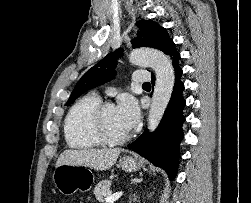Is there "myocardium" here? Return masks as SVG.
<instances>
[{"mask_svg": "<svg viewBox=\"0 0 251 203\" xmlns=\"http://www.w3.org/2000/svg\"><path fill=\"white\" fill-rule=\"evenodd\" d=\"M114 107L110 102L100 103L93 111L91 116L90 127L94 136L103 144L118 145L126 142L130 138V133L121 136L113 137L108 134L104 125V114L106 110Z\"/></svg>", "mask_w": 251, "mask_h": 203, "instance_id": "myocardium-1", "label": "myocardium"}]
</instances>
